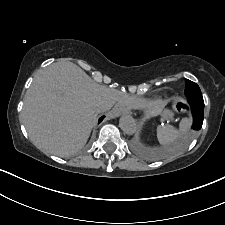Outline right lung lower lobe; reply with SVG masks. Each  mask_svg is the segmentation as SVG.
<instances>
[{
  "mask_svg": "<svg viewBox=\"0 0 225 225\" xmlns=\"http://www.w3.org/2000/svg\"><path fill=\"white\" fill-rule=\"evenodd\" d=\"M103 118H104V117H101V118H100V122L102 121Z\"/></svg>",
  "mask_w": 225,
  "mask_h": 225,
  "instance_id": "right-lung-lower-lobe-1",
  "label": "right lung lower lobe"
}]
</instances>
